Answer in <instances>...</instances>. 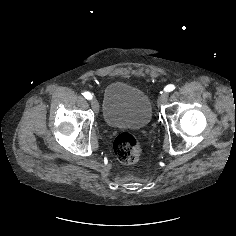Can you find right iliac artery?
Wrapping results in <instances>:
<instances>
[{
    "mask_svg": "<svg viewBox=\"0 0 236 236\" xmlns=\"http://www.w3.org/2000/svg\"><path fill=\"white\" fill-rule=\"evenodd\" d=\"M84 97L88 100L92 99V94L90 92H84Z\"/></svg>",
    "mask_w": 236,
    "mask_h": 236,
    "instance_id": "1",
    "label": "right iliac artery"
}]
</instances>
